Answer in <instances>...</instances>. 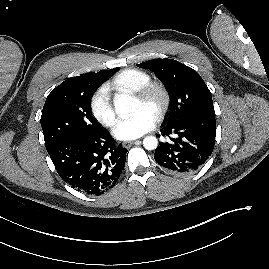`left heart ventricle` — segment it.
I'll use <instances>...</instances> for the list:
<instances>
[{"instance_id": "1", "label": "left heart ventricle", "mask_w": 269, "mask_h": 269, "mask_svg": "<svg viewBox=\"0 0 269 269\" xmlns=\"http://www.w3.org/2000/svg\"><path fill=\"white\" fill-rule=\"evenodd\" d=\"M158 105H159V97L158 96L153 97L148 102H141V101L135 99L133 113H136L138 110L145 108L155 115L156 110L158 108Z\"/></svg>"}]
</instances>
